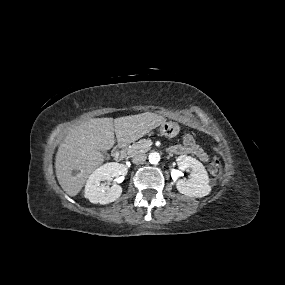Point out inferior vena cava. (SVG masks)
<instances>
[{"label":"inferior vena cava","mask_w":285,"mask_h":285,"mask_svg":"<svg viewBox=\"0 0 285 285\" xmlns=\"http://www.w3.org/2000/svg\"><path fill=\"white\" fill-rule=\"evenodd\" d=\"M146 158H147V157H146V154L137 153V154H135V155L133 156L132 161H133V163H135V164H141V163L145 162Z\"/></svg>","instance_id":"602c4592"}]
</instances>
